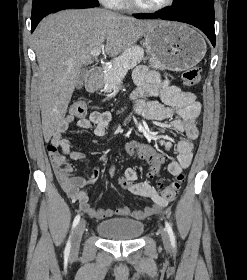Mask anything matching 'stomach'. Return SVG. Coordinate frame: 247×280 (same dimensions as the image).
Returning a JSON list of instances; mask_svg holds the SVG:
<instances>
[{"label": "stomach", "mask_w": 247, "mask_h": 280, "mask_svg": "<svg viewBox=\"0 0 247 280\" xmlns=\"http://www.w3.org/2000/svg\"><path fill=\"white\" fill-rule=\"evenodd\" d=\"M149 63L158 69L184 71L197 65L206 53L203 37L185 24L161 22L145 36Z\"/></svg>", "instance_id": "0dacf381"}]
</instances>
